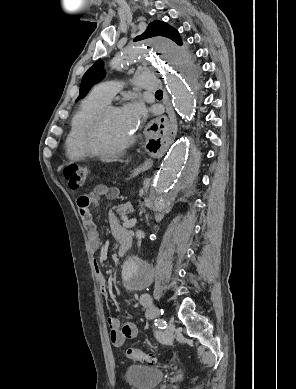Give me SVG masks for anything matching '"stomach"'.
<instances>
[{
    "label": "stomach",
    "mask_w": 296,
    "mask_h": 389,
    "mask_svg": "<svg viewBox=\"0 0 296 389\" xmlns=\"http://www.w3.org/2000/svg\"><path fill=\"white\" fill-rule=\"evenodd\" d=\"M130 176H131L132 178H135V177L137 176V173H136L135 171H132V172L130 173Z\"/></svg>",
    "instance_id": "obj_1"
}]
</instances>
